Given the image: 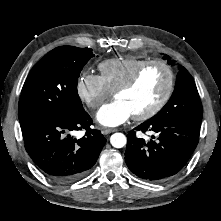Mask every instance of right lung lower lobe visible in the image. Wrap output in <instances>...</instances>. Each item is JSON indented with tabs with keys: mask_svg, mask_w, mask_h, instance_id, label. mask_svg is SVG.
<instances>
[{
	"mask_svg": "<svg viewBox=\"0 0 221 221\" xmlns=\"http://www.w3.org/2000/svg\"><path fill=\"white\" fill-rule=\"evenodd\" d=\"M83 110L69 117H51L22 128L27 153L48 178L60 183L80 179L96 163L106 142L100 130ZM86 130L76 139L71 133Z\"/></svg>",
	"mask_w": 221,
	"mask_h": 221,
	"instance_id": "obj_1",
	"label": "right lung lower lobe"
}]
</instances>
